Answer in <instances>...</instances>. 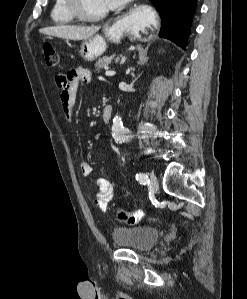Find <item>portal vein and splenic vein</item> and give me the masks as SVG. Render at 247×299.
<instances>
[{"instance_id": "obj_1", "label": "portal vein and splenic vein", "mask_w": 247, "mask_h": 299, "mask_svg": "<svg viewBox=\"0 0 247 299\" xmlns=\"http://www.w3.org/2000/svg\"><path fill=\"white\" fill-rule=\"evenodd\" d=\"M115 74V71H111V70H108L105 72V75L106 76H113Z\"/></svg>"}]
</instances>
